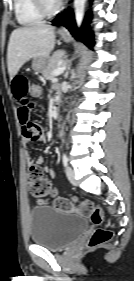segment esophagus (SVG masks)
<instances>
[{
  "instance_id": "1",
  "label": "esophagus",
  "mask_w": 134,
  "mask_h": 281,
  "mask_svg": "<svg viewBox=\"0 0 134 281\" xmlns=\"http://www.w3.org/2000/svg\"><path fill=\"white\" fill-rule=\"evenodd\" d=\"M68 30H67V28L66 27H62V28H60L59 29V32H63V33H65V32H67Z\"/></svg>"
}]
</instances>
